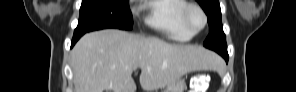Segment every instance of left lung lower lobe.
Masks as SVG:
<instances>
[{
	"instance_id": "left-lung-lower-lobe-1",
	"label": "left lung lower lobe",
	"mask_w": 296,
	"mask_h": 92,
	"mask_svg": "<svg viewBox=\"0 0 296 92\" xmlns=\"http://www.w3.org/2000/svg\"><path fill=\"white\" fill-rule=\"evenodd\" d=\"M218 53H219L221 56H223V57L226 59V61H228V53H227V52L219 51Z\"/></svg>"
}]
</instances>
